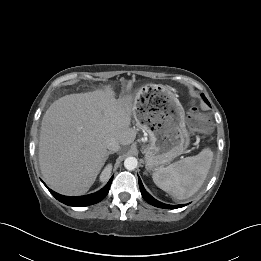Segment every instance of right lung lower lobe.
Segmentation results:
<instances>
[{"mask_svg": "<svg viewBox=\"0 0 261 261\" xmlns=\"http://www.w3.org/2000/svg\"><path fill=\"white\" fill-rule=\"evenodd\" d=\"M113 177L109 180L107 185L99 190L96 193L90 194V195H85V196H78V197H69V196H64L60 195L51 189L48 188V190L51 192V194L60 202L69 205V206H88L92 205L95 203L100 202L105 196L108 194V191L110 189V185L112 183Z\"/></svg>", "mask_w": 261, "mask_h": 261, "instance_id": "98d812e1", "label": "right lung lower lobe"}]
</instances>
